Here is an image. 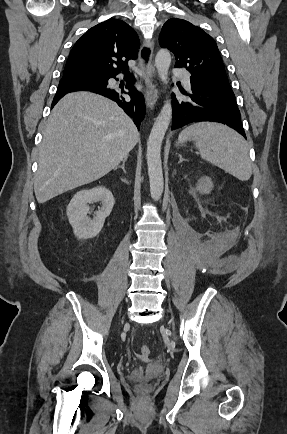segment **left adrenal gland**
<instances>
[{
  "instance_id": "1",
  "label": "left adrenal gland",
  "mask_w": 287,
  "mask_h": 434,
  "mask_svg": "<svg viewBox=\"0 0 287 434\" xmlns=\"http://www.w3.org/2000/svg\"><path fill=\"white\" fill-rule=\"evenodd\" d=\"M178 156H179V163H181L182 161H186V160L182 157L181 154H178Z\"/></svg>"
}]
</instances>
